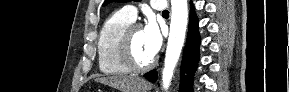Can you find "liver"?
I'll return each mask as SVG.
<instances>
[{"instance_id":"obj_1","label":"liver","mask_w":289,"mask_h":92,"mask_svg":"<svg viewBox=\"0 0 289 92\" xmlns=\"http://www.w3.org/2000/svg\"><path fill=\"white\" fill-rule=\"evenodd\" d=\"M95 81L114 87L121 92H144L151 89V86L144 79L138 77H100Z\"/></svg>"}]
</instances>
